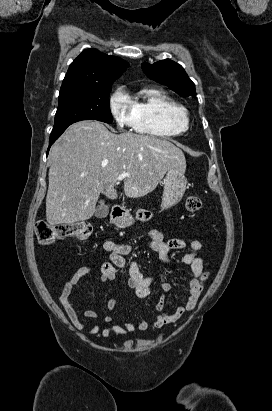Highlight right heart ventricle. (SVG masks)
Returning <instances> with one entry per match:
<instances>
[{"label": "right heart ventricle", "mask_w": 272, "mask_h": 411, "mask_svg": "<svg viewBox=\"0 0 272 411\" xmlns=\"http://www.w3.org/2000/svg\"><path fill=\"white\" fill-rule=\"evenodd\" d=\"M128 98L133 108L135 131L154 137H171L188 128L187 110L166 93L144 89Z\"/></svg>", "instance_id": "e07e8e85"}]
</instances>
